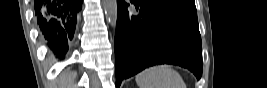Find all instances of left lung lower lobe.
I'll use <instances>...</instances> for the list:
<instances>
[{
    "mask_svg": "<svg viewBox=\"0 0 267 88\" xmlns=\"http://www.w3.org/2000/svg\"><path fill=\"white\" fill-rule=\"evenodd\" d=\"M117 0L115 34L116 88L123 79L156 64L168 63L188 68L197 79L202 74L201 37L196 15L173 9Z\"/></svg>",
    "mask_w": 267,
    "mask_h": 88,
    "instance_id": "left-lung-lower-lobe-1",
    "label": "left lung lower lobe"
}]
</instances>
